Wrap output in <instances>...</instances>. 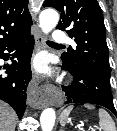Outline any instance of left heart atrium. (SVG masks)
Returning <instances> with one entry per match:
<instances>
[{"label": "left heart atrium", "mask_w": 117, "mask_h": 131, "mask_svg": "<svg viewBox=\"0 0 117 131\" xmlns=\"http://www.w3.org/2000/svg\"><path fill=\"white\" fill-rule=\"evenodd\" d=\"M36 68L41 72L47 71V64L44 58H40L36 61Z\"/></svg>", "instance_id": "left-heart-atrium-1"}]
</instances>
